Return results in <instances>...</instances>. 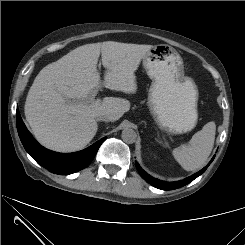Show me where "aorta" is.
<instances>
[{"instance_id":"aorta-1","label":"aorta","mask_w":245,"mask_h":245,"mask_svg":"<svg viewBox=\"0 0 245 245\" xmlns=\"http://www.w3.org/2000/svg\"><path fill=\"white\" fill-rule=\"evenodd\" d=\"M121 137L125 143L132 144L136 141L137 134L132 128H124Z\"/></svg>"}]
</instances>
